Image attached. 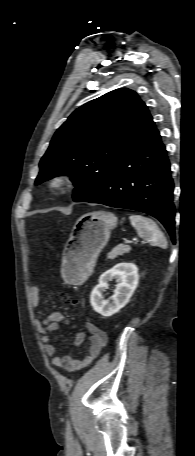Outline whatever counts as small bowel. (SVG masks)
<instances>
[{
  "label": "small bowel",
  "mask_w": 195,
  "mask_h": 456,
  "mask_svg": "<svg viewBox=\"0 0 195 456\" xmlns=\"http://www.w3.org/2000/svg\"><path fill=\"white\" fill-rule=\"evenodd\" d=\"M30 300L34 307L40 304V289L37 286H31L29 290ZM68 319L61 312H53L49 314L43 321H38V331L43 339L46 353L53 357V364L56 367L63 368L66 371L74 372L86 367L94 358L98 356L102 348L105 346L107 336L105 332L96 324L88 322L86 327L89 332V337L86 340V335L82 332L78 333L75 340V346H81L86 341V350L80 357L71 355L55 354V342L51 339V332L61 328L62 324H68Z\"/></svg>",
  "instance_id": "obj_1"
}]
</instances>
